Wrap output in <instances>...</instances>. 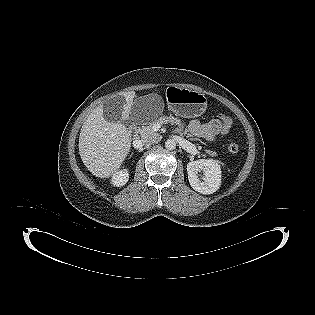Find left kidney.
<instances>
[{
	"mask_svg": "<svg viewBox=\"0 0 315 315\" xmlns=\"http://www.w3.org/2000/svg\"><path fill=\"white\" fill-rule=\"evenodd\" d=\"M203 172L199 177L198 172ZM188 180L191 187L201 194H212L221 185V167L218 161L200 159L187 164Z\"/></svg>",
	"mask_w": 315,
	"mask_h": 315,
	"instance_id": "1",
	"label": "left kidney"
}]
</instances>
